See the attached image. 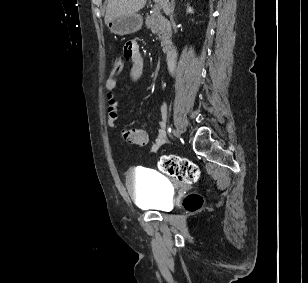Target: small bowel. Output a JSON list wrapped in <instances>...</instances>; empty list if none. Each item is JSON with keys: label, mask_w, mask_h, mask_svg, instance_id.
<instances>
[{"label": "small bowel", "mask_w": 308, "mask_h": 283, "mask_svg": "<svg viewBox=\"0 0 308 283\" xmlns=\"http://www.w3.org/2000/svg\"><path fill=\"white\" fill-rule=\"evenodd\" d=\"M125 57L131 60L132 66L130 69V78L133 81H138L143 77L145 64L144 58L140 52L139 45L136 41H128L123 48ZM117 82L113 77H110L105 82L106 100H107V115L108 125L110 128L120 131L123 138L134 145L145 146L149 142V134L144 129H127L120 127V112L118 101L115 96ZM166 118L167 105L162 103L160 107V118L158 121V129L156 131L155 141L153 144V152H156L162 145L166 143Z\"/></svg>", "instance_id": "1"}]
</instances>
